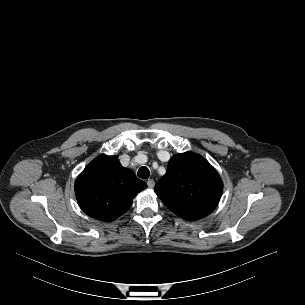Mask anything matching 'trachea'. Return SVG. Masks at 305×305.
<instances>
[{"label": "trachea", "mask_w": 305, "mask_h": 305, "mask_svg": "<svg viewBox=\"0 0 305 305\" xmlns=\"http://www.w3.org/2000/svg\"><path fill=\"white\" fill-rule=\"evenodd\" d=\"M137 174L142 179H148L149 176H150V171H149V169L147 167L142 166V167L139 168Z\"/></svg>", "instance_id": "trachea-1"}]
</instances>
